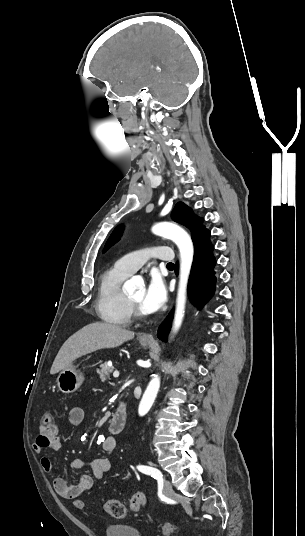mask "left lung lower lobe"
<instances>
[{"instance_id": "0a47b994", "label": "left lung lower lobe", "mask_w": 305, "mask_h": 536, "mask_svg": "<svg viewBox=\"0 0 305 536\" xmlns=\"http://www.w3.org/2000/svg\"><path fill=\"white\" fill-rule=\"evenodd\" d=\"M194 260L188 284V292L191 301L197 305H204L215 290L214 266L216 260L213 256V245L210 242V231H205L194 242ZM178 274V262L175 269ZM173 314H170L158 329V338L166 341L170 331V322Z\"/></svg>"}]
</instances>
